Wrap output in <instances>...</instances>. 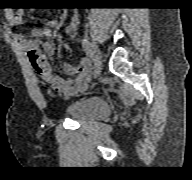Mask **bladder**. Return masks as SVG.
I'll use <instances>...</instances> for the list:
<instances>
[{"label": "bladder", "instance_id": "obj_1", "mask_svg": "<svg viewBox=\"0 0 192 180\" xmlns=\"http://www.w3.org/2000/svg\"><path fill=\"white\" fill-rule=\"evenodd\" d=\"M110 104L100 96L79 99L65 108V114L76 121L99 120L111 114Z\"/></svg>", "mask_w": 192, "mask_h": 180}]
</instances>
